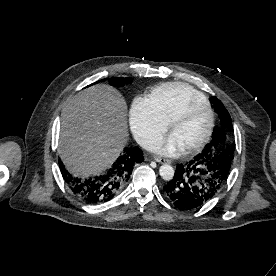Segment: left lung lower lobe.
Returning <instances> with one entry per match:
<instances>
[{
  "label": "left lung lower lobe",
  "mask_w": 276,
  "mask_h": 276,
  "mask_svg": "<svg viewBox=\"0 0 276 276\" xmlns=\"http://www.w3.org/2000/svg\"><path fill=\"white\" fill-rule=\"evenodd\" d=\"M222 177L211 159L199 154L177 166L175 175L164 190L175 206L195 209L211 200L221 189Z\"/></svg>",
  "instance_id": "0a47b994"
}]
</instances>
